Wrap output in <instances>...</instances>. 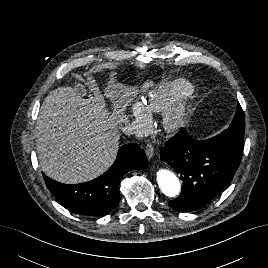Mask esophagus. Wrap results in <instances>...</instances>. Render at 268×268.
Masks as SVG:
<instances>
[{
	"instance_id": "obj_1",
	"label": "esophagus",
	"mask_w": 268,
	"mask_h": 268,
	"mask_svg": "<svg viewBox=\"0 0 268 268\" xmlns=\"http://www.w3.org/2000/svg\"><path fill=\"white\" fill-rule=\"evenodd\" d=\"M146 154L149 159H151L154 155V147L150 143L146 146Z\"/></svg>"
}]
</instances>
